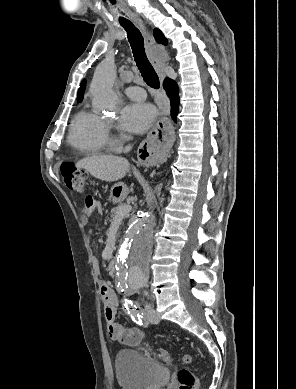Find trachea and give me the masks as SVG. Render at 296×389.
<instances>
[{"label":"trachea","mask_w":296,"mask_h":389,"mask_svg":"<svg viewBox=\"0 0 296 389\" xmlns=\"http://www.w3.org/2000/svg\"><path fill=\"white\" fill-rule=\"evenodd\" d=\"M121 26L127 32L128 41L130 42L136 65L144 81L148 86L158 89L160 86L159 77L146 56L144 39L141 32L132 22L123 23Z\"/></svg>","instance_id":"obj_1"}]
</instances>
